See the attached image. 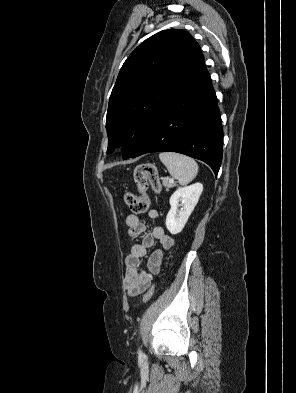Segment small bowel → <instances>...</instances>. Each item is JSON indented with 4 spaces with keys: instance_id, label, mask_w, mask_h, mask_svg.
I'll use <instances>...</instances> for the list:
<instances>
[{
    "instance_id": "1",
    "label": "small bowel",
    "mask_w": 296,
    "mask_h": 393,
    "mask_svg": "<svg viewBox=\"0 0 296 393\" xmlns=\"http://www.w3.org/2000/svg\"><path fill=\"white\" fill-rule=\"evenodd\" d=\"M148 217L156 220L159 217L156 209L148 211ZM128 235L130 237H142L141 244H134L131 252L125 258L126 275L125 287L129 297H136L145 292L153 279V276L160 271L164 252L173 246V240L165 234L161 226H155L151 232H146L145 225L141 222L139 216L130 213L126 217ZM159 241L162 248L155 249L148 258L147 269L141 268V259L146 255L147 249Z\"/></svg>"
}]
</instances>
